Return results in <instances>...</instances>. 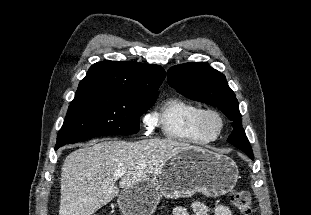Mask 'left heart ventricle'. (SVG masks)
<instances>
[{
    "instance_id": "left-heart-ventricle-1",
    "label": "left heart ventricle",
    "mask_w": 311,
    "mask_h": 215,
    "mask_svg": "<svg viewBox=\"0 0 311 215\" xmlns=\"http://www.w3.org/2000/svg\"><path fill=\"white\" fill-rule=\"evenodd\" d=\"M208 126L211 130H215L217 128V122L214 118H210L208 120Z\"/></svg>"
}]
</instances>
